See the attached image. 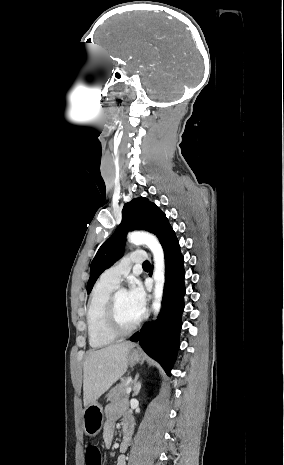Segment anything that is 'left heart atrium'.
Instances as JSON below:
<instances>
[{
	"label": "left heart atrium",
	"mask_w": 284,
	"mask_h": 465,
	"mask_svg": "<svg viewBox=\"0 0 284 465\" xmlns=\"http://www.w3.org/2000/svg\"><path fill=\"white\" fill-rule=\"evenodd\" d=\"M127 296L133 309L137 313L142 314L146 305V295L142 285L138 281L133 280L131 282L130 290Z\"/></svg>",
	"instance_id": "1"
}]
</instances>
